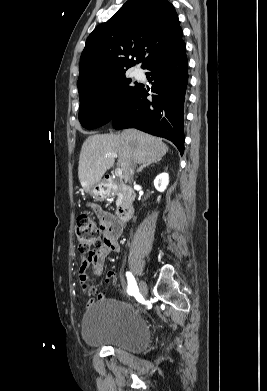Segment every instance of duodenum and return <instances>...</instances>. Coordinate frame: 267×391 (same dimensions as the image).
I'll return each instance as SVG.
<instances>
[{"label": "duodenum", "instance_id": "duodenum-1", "mask_svg": "<svg viewBox=\"0 0 267 391\" xmlns=\"http://www.w3.org/2000/svg\"><path fill=\"white\" fill-rule=\"evenodd\" d=\"M108 183L113 187H118L117 185H115L111 177L108 178ZM119 189L123 193L124 201L120 206V208L117 210L116 219H117V223L121 224L128 221L133 216L134 213L133 201L135 195L133 191L126 186L119 187Z\"/></svg>", "mask_w": 267, "mask_h": 391}]
</instances>
